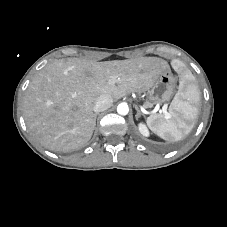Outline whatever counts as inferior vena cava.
Wrapping results in <instances>:
<instances>
[{"instance_id": "1", "label": "inferior vena cava", "mask_w": 227, "mask_h": 227, "mask_svg": "<svg viewBox=\"0 0 227 227\" xmlns=\"http://www.w3.org/2000/svg\"><path fill=\"white\" fill-rule=\"evenodd\" d=\"M112 103H113V98L111 96L103 95L99 97L98 100L96 101L93 107V111L96 113L105 111L111 107Z\"/></svg>"}]
</instances>
